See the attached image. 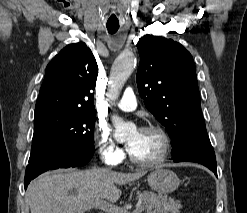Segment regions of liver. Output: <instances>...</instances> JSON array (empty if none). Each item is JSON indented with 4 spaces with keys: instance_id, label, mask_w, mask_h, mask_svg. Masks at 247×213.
Returning <instances> with one entry per match:
<instances>
[{
    "instance_id": "obj_1",
    "label": "liver",
    "mask_w": 247,
    "mask_h": 213,
    "mask_svg": "<svg viewBox=\"0 0 247 213\" xmlns=\"http://www.w3.org/2000/svg\"><path fill=\"white\" fill-rule=\"evenodd\" d=\"M145 171L120 173L93 168L84 171H50L40 175L28 187L31 213H84L91 201L116 202L121 196L118 185L138 180ZM75 189V194L69 191Z\"/></svg>"
}]
</instances>
